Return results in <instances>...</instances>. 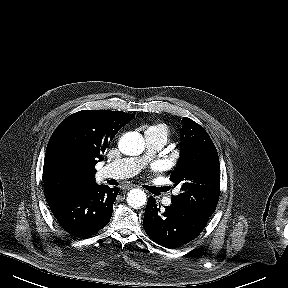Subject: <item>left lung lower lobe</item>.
Listing matches in <instances>:
<instances>
[{"label": "left lung lower lobe", "mask_w": 288, "mask_h": 288, "mask_svg": "<svg viewBox=\"0 0 288 288\" xmlns=\"http://www.w3.org/2000/svg\"><path fill=\"white\" fill-rule=\"evenodd\" d=\"M210 216L195 209L172 203L160 210L150 196L145 209L143 228L156 243L176 248L195 239L204 229Z\"/></svg>", "instance_id": "obj_1"}]
</instances>
